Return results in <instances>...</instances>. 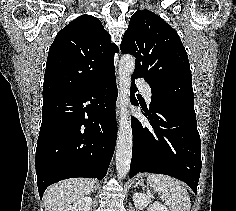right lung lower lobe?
Instances as JSON below:
<instances>
[{
	"label": "right lung lower lobe",
	"mask_w": 236,
	"mask_h": 211,
	"mask_svg": "<svg viewBox=\"0 0 236 211\" xmlns=\"http://www.w3.org/2000/svg\"><path fill=\"white\" fill-rule=\"evenodd\" d=\"M115 72L89 89L43 99L42 124L36 148L40 199L60 180H101L117 138Z\"/></svg>",
	"instance_id": "1"
}]
</instances>
